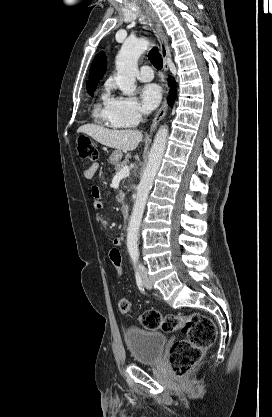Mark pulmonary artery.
<instances>
[{
    "label": "pulmonary artery",
    "instance_id": "e3ab8cb5",
    "mask_svg": "<svg viewBox=\"0 0 272 417\" xmlns=\"http://www.w3.org/2000/svg\"><path fill=\"white\" fill-rule=\"evenodd\" d=\"M137 78L142 82H148L153 79V70L150 66L144 65L140 68Z\"/></svg>",
    "mask_w": 272,
    "mask_h": 417
}]
</instances>
